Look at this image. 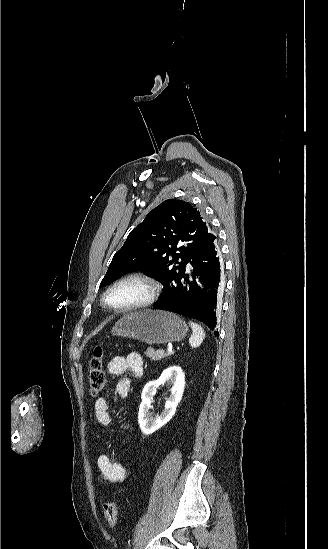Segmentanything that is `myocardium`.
I'll list each match as a JSON object with an SVG mask.
<instances>
[{"label":"myocardium","instance_id":"1","mask_svg":"<svg viewBox=\"0 0 328 549\" xmlns=\"http://www.w3.org/2000/svg\"><path fill=\"white\" fill-rule=\"evenodd\" d=\"M131 280L141 282L144 285L145 295L137 301L126 304L116 305L109 303L108 296L119 286ZM160 292L161 283L158 279L147 272L134 269L122 274L104 289L100 297V305L104 311L114 315L143 311L153 306L158 299Z\"/></svg>","mask_w":328,"mask_h":549}]
</instances>
